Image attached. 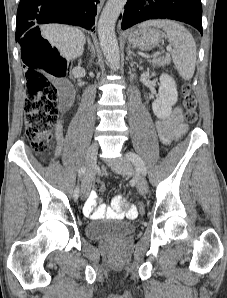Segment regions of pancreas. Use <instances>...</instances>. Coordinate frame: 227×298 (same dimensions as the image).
Returning <instances> with one entry per match:
<instances>
[{
    "label": "pancreas",
    "mask_w": 227,
    "mask_h": 298,
    "mask_svg": "<svg viewBox=\"0 0 227 298\" xmlns=\"http://www.w3.org/2000/svg\"><path fill=\"white\" fill-rule=\"evenodd\" d=\"M152 62L155 65L164 66V65L170 64L171 58H170V56H165V57H162L160 59L153 60Z\"/></svg>",
    "instance_id": "1"
}]
</instances>
